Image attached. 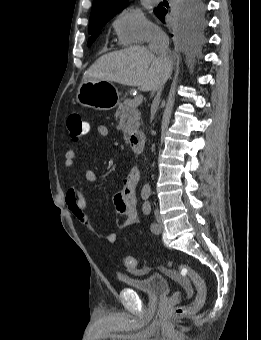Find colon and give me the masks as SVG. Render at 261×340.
I'll list each match as a JSON object with an SVG mask.
<instances>
[{
  "label": "colon",
  "mask_w": 261,
  "mask_h": 340,
  "mask_svg": "<svg viewBox=\"0 0 261 340\" xmlns=\"http://www.w3.org/2000/svg\"><path fill=\"white\" fill-rule=\"evenodd\" d=\"M68 134L71 140L77 141L85 136L84 121L78 113H71L66 121ZM123 264L126 268L133 272H138V261L131 256L123 258ZM169 267H173L179 276L186 281L187 284L192 285L196 290V296L193 302L188 306H178L173 309L174 315L189 314L199 310L206 301L207 288L203 278L191 267L182 263H175L169 261Z\"/></svg>",
  "instance_id": "1"
}]
</instances>
